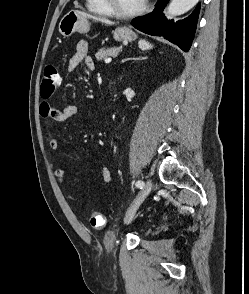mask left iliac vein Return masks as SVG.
I'll return each instance as SVG.
<instances>
[{"label": "left iliac vein", "mask_w": 249, "mask_h": 294, "mask_svg": "<svg viewBox=\"0 0 249 294\" xmlns=\"http://www.w3.org/2000/svg\"><path fill=\"white\" fill-rule=\"evenodd\" d=\"M152 190V182L150 179H147L143 189L139 192L135 200L133 201L132 205L128 209L126 216H125V222L130 223L133 220V217L138 209V207L141 205V203L144 201V199L148 196V194Z\"/></svg>", "instance_id": "4c4485c4"}]
</instances>
